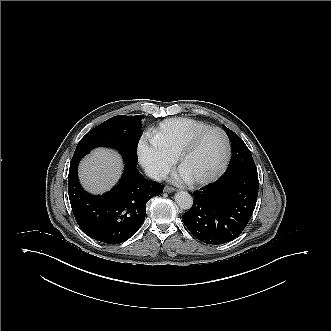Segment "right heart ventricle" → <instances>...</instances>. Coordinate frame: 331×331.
<instances>
[{"label": "right heart ventricle", "instance_id": "1", "mask_svg": "<svg viewBox=\"0 0 331 331\" xmlns=\"http://www.w3.org/2000/svg\"><path fill=\"white\" fill-rule=\"evenodd\" d=\"M210 128L202 121L176 117L163 121L152 134L151 141L156 148L177 155L182 146L198 132Z\"/></svg>", "mask_w": 331, "mask_h": 331}]
</instances>
